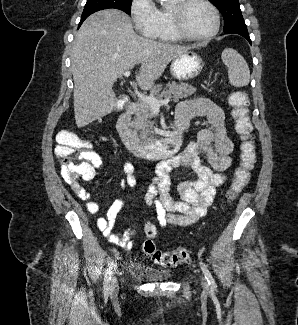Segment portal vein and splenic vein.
I'll list each match as a JSON object with an SVG mask.
<instances>
[{"mask_svg": "<svg viewBox=\"0 0 298 325\" xmlns=\"http://www.w3.org/2000/svg\"><path fill=\"white\" fill-rule=\"evenodd\" d=\"M123 74L124 76H130L131 70H125ZM134 92L137 94L141 102H146V104H149V106H151L153 112H160V106H162V104H168V102L171 100V98H163V100H159V98H156V96H148V94L139 92L137 88H135Z\"/></svg>", "mask_w": 298, "mask_h": 325, "instance_id": "obj_1", "label": "portal vein and splenic vein"}]
</instances>
